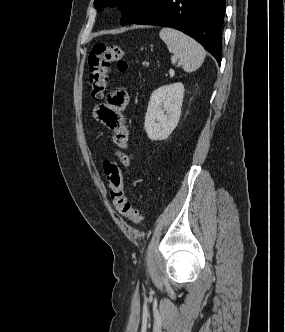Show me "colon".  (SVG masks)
<instances>
[{
  "label": "colon",
  "mask_w": 285,
  "mask_h": 332,
  "mask_svg": "<svg viewBox=\"0 0 285 332\" xmlns=\"http://www.w3.org/2000/svg\"><path fill=\"white\" fill-rule=\"evenodd\" d=\"M89 86L94 100H101L108 87L109 72L112 64H116L119 71L128 69V62L124 58V51L119 45L96 43L88 58ZM104 172L109 182L113 204L118 212L134 224L142 220L140 212L128 201L125 191L123 175L120 166L113 159H106L103 164Z\"/></svg>",
  "instance_id": "5ec220e1"
}]
</instances>
